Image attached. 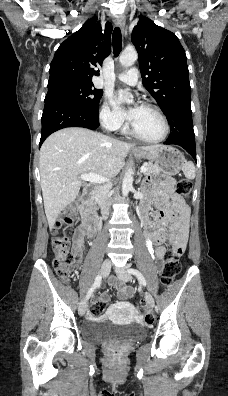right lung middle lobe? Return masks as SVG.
<instances>
[{
    "label": "right lung middle lobe",
    "instance_id": "dd1d6c3e",
    "mask_svg": "<svg viewBox=\"0 0 228 396\" xmlns=\"http://www.w3.org/2000/svg\"><path fill=\"white\" fill-rule=\"evenodd\" d=\"M103 95L101 89H96L93 84L64 82L48 86L45 99L63 98L88 111L98 112L99 101Z\"/></svg>",
    "mask_w": 228,
    "mask_h": 396
}]
</instances>
